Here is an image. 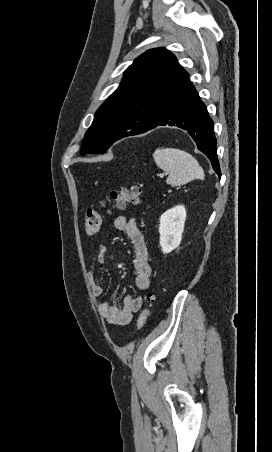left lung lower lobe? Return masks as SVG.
<instances>
[{
  "label": "left lung lower lobe",
  "mask_w": 272,
  "mask_h": 452,
  "mask_svg": "<svg viewBox=\"0 0 272 452\" xmlns=\"http://www.w3.org/2000/svg\"><path fill=\"white\" fill-rule=\"evenodd\" d=\"M188 77L166 102L156 121L141 133L166 125L186 130L197 148L209 158L214 171L221 177L213 120Z\"/></svg>",
  "instance_id": "1"
}]
</instances>
